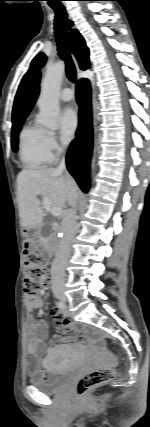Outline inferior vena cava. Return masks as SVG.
Here are the masks:
<instances>
[{
    "label": "inferior vena cava",
    "instance_id": "1",
    "mask_svg": "<svg viewBox=\"0 0 150 427\" xmlns=\"http://www.w3.org/2000/svg\"><path fill=\"white\" fill-rule=\"evenodd\" d=\"M56 170L58 172L65 171V175L69 177L66 171L65 158L62 159ZM67 202L72 208L68 210V212L63 217L61 227L63 236L60 239L57 253L51 265V283L53 286L64 284L65 267L71 252V244L77 231L75 209L77 203V193L76 189L70 181L68 182Z\"/></svg>",
    "mask_w": 150,
    "mask_h": 427
}]
</instances>
